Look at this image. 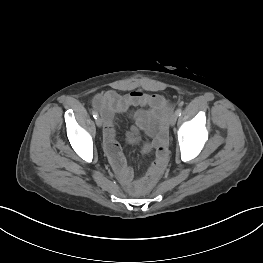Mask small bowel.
Segmentation results:
<instances>
[{"mask_svg":"<svg viewBox=\"0 0 263 263\" xmlns=\"http://www.w3.org/2000/svg\"><path fill=\"white\" fill-rule=\"evenodd\" d=\"M93 106L104 118L103 131L104 148L109 161L120 181L130 187L133 177L125 156L116 140L115 115L126 113L131 108H139L132 113L136 126L128 133V140L136 143L139 131H144L149 138L142 144V151L148 153L155 150V160L148 173H159L167 162V118L170 106L166 100L157 94L132 91L121 94L115 90L97 94L93 99Z\"/></svg>","mask_w":263,"mask_h":263,"instance_id":"small-bowel-1","label":"small bowel"}]
</instances>
